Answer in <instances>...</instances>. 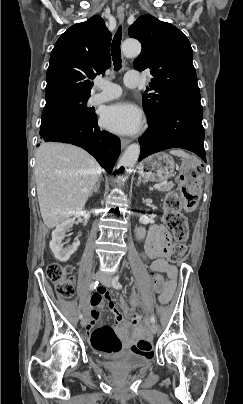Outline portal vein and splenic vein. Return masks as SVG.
I'll return each mask as SVG.
<instances>
[{
	"label": "portal vein and splenic vein",
	"instance_id": "portal-vein-and-splenic-vein-1",
	"mask_svg": "<svg viewBox=\"0 0 243 404\" xmlns=\"http://www.w3.org/2000/svg\"><path fill=\"white\" fill-rule=\"evenodd\" d=\"M155 190H158V188H161L160 184H155L154 186Z\"/></svg>",
	"mask_w": 243,
	"mask_h": 404
}]
</instances>
